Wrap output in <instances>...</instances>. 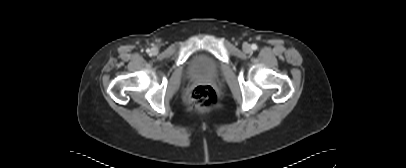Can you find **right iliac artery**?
Wrapping results in <instances>:
<instances>
[{
    "label": "right iliac artery",
    "mask_w": 406,
    "mask_h": 168,
    "mask_svg": "<svg viewBox=\"0 0 406 168\" xmlns=\"http://www.w3.org/2000/svg\"><path fill=\"white\" fill-rule=\"evenodd\" d=\"M147 52L149 53V52H150V50H149V49H147Z\"/></svg>",
    "instance_id": "82829eb1"
}]
</instances>
